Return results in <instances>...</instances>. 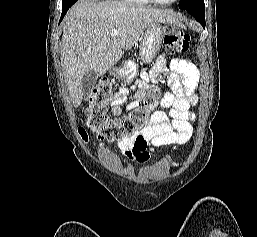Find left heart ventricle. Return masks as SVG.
I'll use <instances>...</instances> for the list:
<instances>
[{"label":"left heart ventricle","instance_id":"obj_1","mask_svg":"<svg viewBox=\"0 0 257 237\" xmlns=\"http://www.w3.org/2000/svg\"><path fill=\"white\" fill-rule=\"evenodd\" d=\"M161 1H171V0H161Z\"/></svg>","mask_w":257,"mask_h":237}]
</instances>
